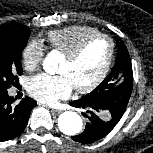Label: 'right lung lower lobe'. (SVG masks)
<instances>
[{"mask_svg":"<svg viewBox=\"0 0 153 153\" xmlns=\"http://www.w3.org/2000/svg\"><path fill=\"white\" fill-rule=\"evenodd\" d=\"M10 97L7 90H0V142L19 136L25 129L36 101L25 97L19 104Z\"/></svg>","mask_w":153,"mask_h":153,"instance_id":"98d812e1","label":"right lung lower lobe"}]
</instances>
